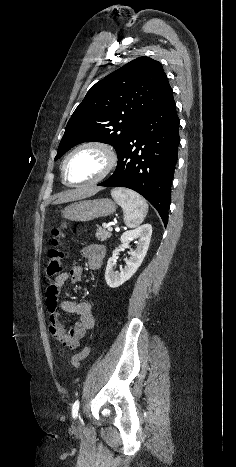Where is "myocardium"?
Wrapping results in <instances>:
<instances>
[{"label":"myocardium","instance_id":"1","mask_svg":"<svg viewBox=\"0 0 236 467\" xmlns=\"http://www.w3.org/2000/svg\"><path fill=\"white\" fill-rule=\"evenodd\" d=\"M87 148L97 149L100 152H102L106 159V165L103 171L96 178L92 180L81 182V183L70 182L67 178V164L74 154H76L80 150L87 149ZM117 163H118L117 152L110 143L105 142V141H99V140L88 141V142L78 145L67 155V157L65 158L62 164V179L66 185L72 186V187H83V186L93 185L107 178L112 173V171L115 169V167L117 166Z\"/></svg>","mask_w":236,"mask_h":467}]
</instances>
